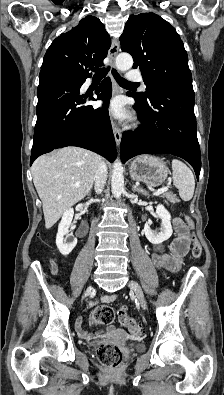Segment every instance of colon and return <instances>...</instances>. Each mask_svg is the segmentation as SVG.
I'll return each instance as SVG.
<instances>
[{
  "label": "colon",
  "instance_id": "1",
  "mask_svg": "<svg viewBox=\"0 0 224 395\" xmlns=\"http://www.w3.org/2000/svg\"><path fill=\"white\" fill-rule=\"evenodd\" d=\"M188 228L192 227V221L188 216H184ZM192 240V256L199 258L202 253V247L195 237ZM118 319L120 324L126 327L133 336L141 334V327L138 322L129 315L126 307L119 309L115 313L114 309L109 305H101L92 310L90 322L94 325H110L114 320ZM97 359L111 368H117L124 359V353L121 348L111 344H100L96 349Z\"/></svg>",
  "mask_w": 224,
  "mask_h": 395
}]
</instances>
